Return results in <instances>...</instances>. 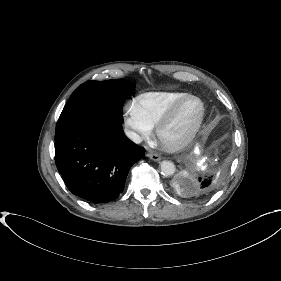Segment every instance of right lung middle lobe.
<instances>
[{
    "instance_id": "obj_1",
    "label": "right lung middle lobe",
    "mask_w": 281,
    "mask_h": 281,
    "mask_svg": "<svg viewBox=\"0 0 281 281\" xmlns=\"http://www.w3.org/2000/svg\"><path fill=\"white\" fill-rule=\"evenodd\" d=\"M134 90L135 84L126 80L83 83L63 108L56 131L80 124H122L123 104Z\"/></svg>"
}]
</instances>
